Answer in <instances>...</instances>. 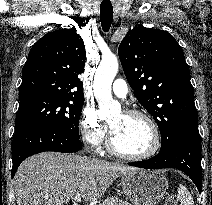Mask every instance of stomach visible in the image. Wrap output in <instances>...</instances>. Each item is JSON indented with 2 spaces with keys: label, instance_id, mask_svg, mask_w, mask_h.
I'll use <instances>...</instances> for the list:
<instances>
[{
  "label": "stomach",
  "instance_id": "0dacf381",
  "mask_svg": "<svg viewBox=\"0 0 212 205\" xmlns=\"http://www.w3.org/2000/svg\"><path fill=\"white\" fill-rule=\"evenodd\" d=\"M120 185L134 205H156L168 189V180L158 171L136 169L121 176Z\"/></svg>",
  "mask_w": 212,
  "mask_h": 205
}]
</instances>
